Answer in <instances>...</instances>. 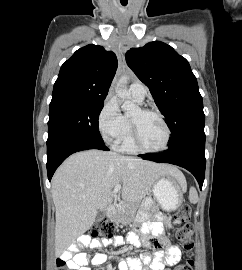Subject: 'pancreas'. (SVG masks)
Segmentation results:
<instances>
[{"label":"pancreas","mask_w":242,"mask_h":270,"mask_svg":"<svg viewBox=\"0 0 242 270\" xmlns=\"http://www.w3.org/2000/svg\"><path fill=\"white\" fill-rule=\"evenodd\" d=\"M138 205L125 203L117 208V212L112 216V221L119 224H127L133 221Z\"/></svg>","instance_id":"pancreas-1"}]
</instances>
